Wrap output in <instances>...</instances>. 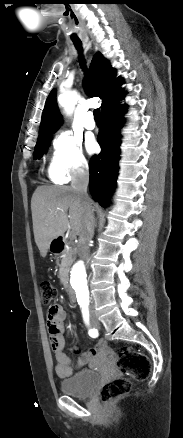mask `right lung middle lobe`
Masks as SVG:
<instances>
[{"label": "right lung middle lobe", "instance_id": "right-lung-middle-lobe-1", "mask_svg": "<svg viewBox=\"0 0 183 438\" xmlns=\"http://www.w3.org/2000/svg\"><path fill=\"white\" fill-rule=\"evenodd\" d=\"M51 138V134L38 137V141L34 150V159H40L42 155L47 151V145L49 144Z\"/></svg>", "mask_w": 183, "mask_h": 438}]
</instances>
